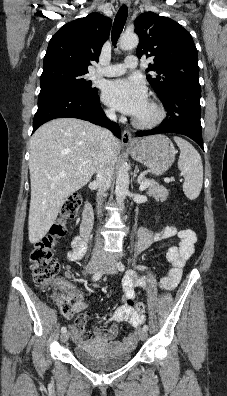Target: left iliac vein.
I'll return each mask as SVG.
<instances>
[{
	"mask_svg": "<svg viewBox=\"0 0 227 396\" xmlns=\"http://www.w3.org/2000/svg\"><path fill=\"white\" fill-rule=\"evenodd\" d=\"M102 271H103V273H106V274H116L117 273L116 262L112 259H109L104 264ZM138 336H139V339L143 341L147 338V332L144 331L143 329H141L138 332Z\"/></svg>",
	"mask_w": 227,
	"mask_h": 396,
	"instance_id": "4c4485c4",
	"label": "left iliac vein"
}]
</instances>
